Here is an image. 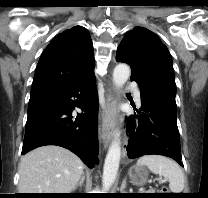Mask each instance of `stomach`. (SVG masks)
<instances>
[{
  "label": "stomach",
  "mask_w": 208,
  "mask_h": 198,
  "mask_svg": "<svg viewBox=\"0 0 208 198\" xmlns=\"http://www.w3.org/2000/svg\"><path fill=\"white\" fill-rule=\"evenodd\" d=\"M128 175L133 185L143 186L148 181L149 173L145 168L135 165L129 169Z\"/></svg>",
  "instance_id": "stomach-1"
}]
</instances>
